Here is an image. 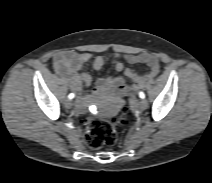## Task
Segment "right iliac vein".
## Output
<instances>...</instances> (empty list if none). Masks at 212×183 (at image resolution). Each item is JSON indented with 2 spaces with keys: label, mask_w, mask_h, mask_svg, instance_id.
Instances as JSON below:
<instances>
[{
  "label": "right iliac vein",
  "mask_w": 212,
  "mask_h": 183,
  "mask_svg": "<svg viewBox=\"0 0 212 183\" xmlns=\"http://www.w3.org/2000/svg\"><path fill=\"white\" fill-rule=\"evenodd\" d=\"M72 105H73V102H72L71 99H66V100H65V106H66L67 108H71Z\"/></svg>",
  "instance_id": "63e3f726"
}]
</instances>
